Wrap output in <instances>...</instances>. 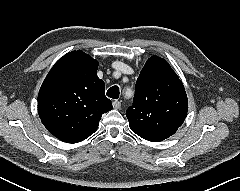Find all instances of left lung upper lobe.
Returning a JSON list of instances; mask_svg holds the SVG:
<instances>
[{"instance_id":"obj_1","label":"left lung upper lobe","mask_w":240,"mask_h":191,"mask_svg":"<svg viewBox=\"0 0 240 191\" xmlns=\"http://www.w3.org/2000/svg\"><path fill=\"white\" fill-rule=\"evenodd\" d=\"M187 110V95L177 74L163 58L150 57L137 79L133 105L126 111L133 132L152 142L167 139L182 125Z\"/></svg>"}]
</instances>
